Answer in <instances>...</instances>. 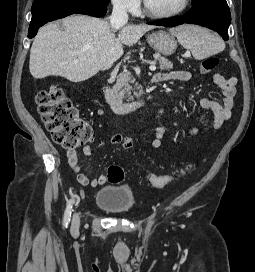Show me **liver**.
Wrapping results in <instances>:
<instances>
[{"mask_svg": "<svg viewBox=\"0 0 255 272\" xmlns=\"http://www.w3.org/2000/svg\"><path fill=\"white\" fill-rule=\"evenodd\" d=\"M39 29L31 50L29 70L35 79L61 76L71 82L85 81L109 69L123 54L155 26L127 25L117 38L109 22L87 15H71Z\"/></svg>", "mask_w": 255, "mask_h": 272, "instance_id": "6515ba94", "label": "liver"}]
</instances>
